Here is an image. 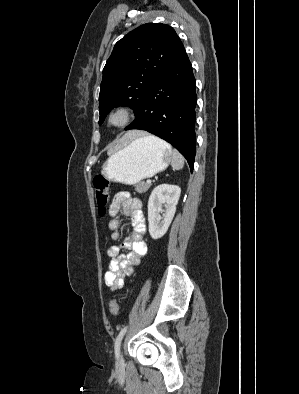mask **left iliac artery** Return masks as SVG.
<instances>
[{
  "instance_id": "left-iliac-artery-1",
  "label": "left iliac artery",
  "mask_w": 299,
  "mask_h": 394,
  "mask_svg": "<svg viewBox=\"0 0 299 394\" xmlns=\"http://www.w3.org/2000/svg\"><path fill=\"white\" fill-rule=\"evenodd\" d=\"M126 330H127V326H125L124 328L121 329L120 333L118 334V336L116 338V341H115V354H116V357H118V355H119L120 344H121V341H122V338H123L124 334L126 333Z\"/></svg>"
}]
</instances>
